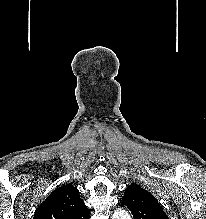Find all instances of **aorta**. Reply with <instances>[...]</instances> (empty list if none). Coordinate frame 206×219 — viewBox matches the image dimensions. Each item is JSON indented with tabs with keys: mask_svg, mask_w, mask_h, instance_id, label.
Segmentation results:
<instances>
[{
	"mask_svg": "<svg viewBox=\"0 0 206 219\" xmlns=\"http://www.w3.org/2000/svg\"><path fill=\"white\" fill-rule=\"evenodd\" d=\"M112 219H131L129 213L124 209H117L113 215Z\"/></svg>",
	"mask_w": 206,
	"mask_h": 219,
	"instance_id": "obj_1",
	"label": "aorta"
}]
</instances>
